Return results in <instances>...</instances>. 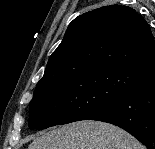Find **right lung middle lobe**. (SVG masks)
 <instances>
[{"mask_svg": "<svg viewBox=\"0 0 155 149\" xmlns=\"http://www.w3.org/2000/svg\"><path fill=\"white\" fill-rule=\"evenodd\" d=\"M145 78L130 69L108 68L40 81L30 102L29 128L90 119Z\"/></svg>", "mask_w": 155, "mask_h": 149, "instance_id": "dd1d6c3e", "label": "right lung middle lobe"}]
</instances>
